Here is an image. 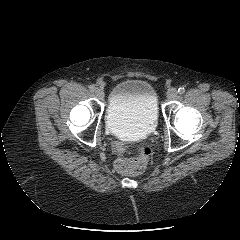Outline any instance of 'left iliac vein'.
<instances>
[{"label":"left iliac vein","mask_w":240,"mask_h":240,"mask_svg":"<svg viewBox=\"0 0 240 240\" xmlns=\"http://www.w3.org/2000/svg\"><path fill=\"white\" fill-rule=\"evenodd\" d=\"M177 94H178V92H177L176 88H170L167 92V98L169 100H173L177 97Z\"/></svg>","instance_id":"left-iliac-vein-1"}]
</instances>
